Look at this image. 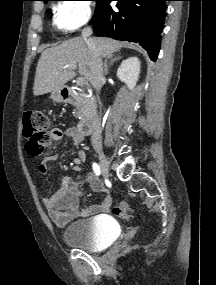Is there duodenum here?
I'll return each instance as SVG.
<instances>
[{"instance_id": "1", "label": "duodenum", "mask_w": 216, "mask_h": 285, "mask_svg": "<svg viewBox=\"0 0 216 285\" xmlns=\"http://www.w3.org/2000/svg\"><path fill=\"white\" fill-rule=\"evenodd\" d=\"M61 96L65 102L74 103L78 99H83L86 105L85 112L79 123V130L84 135L93 132L98 114V104L96 98L89 93H78L71 88H63Z\"/></svg>"}]
</instances>
